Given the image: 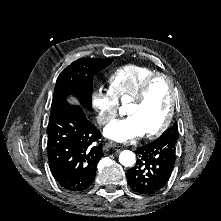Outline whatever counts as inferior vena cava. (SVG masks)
<instances>
[{"label":"inferior vena cava","instance_id":"1","mask_svg":"<svg viewBox=\"0 0 221 221\" xmlns=\"http://www.w3.org/2000/svg\"><path fill=\"white\" fill-rule=\"evenodd\" d=\"M98 121H99L100 124H105V123H107L109 121V118L101 117V118H99Z\"/></svg>","mask_w":221,"mask_h":221}]
</instances>
